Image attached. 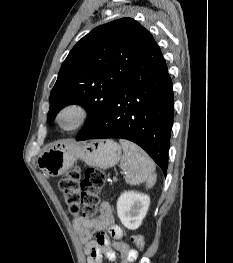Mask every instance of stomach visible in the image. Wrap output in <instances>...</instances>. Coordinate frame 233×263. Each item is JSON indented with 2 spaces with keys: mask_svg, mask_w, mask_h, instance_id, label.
Listing matches in <instances>:
<instances>
[{
  "mask_svg": "<svg viewBox=\"0 0 233 263\" xmlns=\"http://www.w3.org/2000/svg\"><path fill=\"white\" fill-rule=\"evenodd\" d=\"M121 158V147L113 140L91 142L78 146L59 142L46 146L38 157V166L49 176L57 177L69 170L77 159L89 166L107 169Z\"/></svg>",
  "mask_w": 233,
  "mask_h": 263,
  "instance_id": "obj_1",
  "label": "stomach"
}]
</instances>
